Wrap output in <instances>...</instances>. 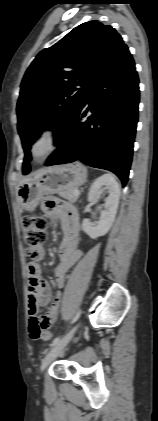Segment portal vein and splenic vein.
I'll list each match as a JSON object with an SVG mask.
<instances>
[{
	"instance_id": "1",
	"label": "portal vein and splenic vein",
	"mask_w": 158,
	"mask_h": 421,
	"mask_svg": "<svg viewBox=\"0 0 158 421\" xmlns=\"http://www.w3.org/2000/svg\"><path fill=\"white\" fill-rule=\"evenodd\" d=\"M73 193H74L75 196H79V194H80L79 190H74Z\"/></svg>"
}]
</instances>
